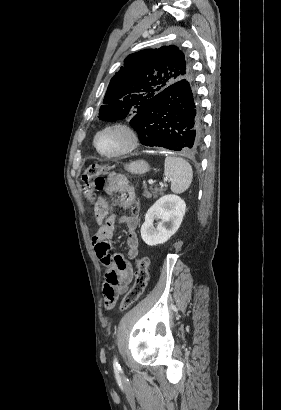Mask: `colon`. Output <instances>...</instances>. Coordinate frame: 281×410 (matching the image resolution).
Segmentation results:
<instances>
[{"mask_svg":"<svg viewBox=\"0 0 281 410\" xmlns=\"http://www.w3.org/2000/svg\"><path fill=\"white\" fill-rule=\"evenodd\" d=\"M108 172L109 167L105 165H93L85 171L82 176V180L84 183V195L88 200L93 198L95 190H101L103 188V177ZM131 211L138 213V206L133 204ZM148 262L147 257H140L137 259L135 281L121 300V310H127L132 307L144 293L148 281ZM113 305V298L110 296L108 300L105 301V306L107 308H111Z\"/></svg>","mask_w":281,"mask_h":410,"instance_id":"colon-1","label":"colon"}]
</instances>
